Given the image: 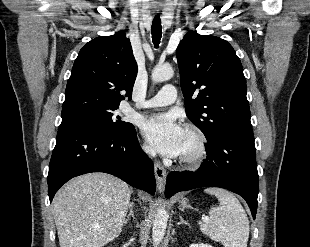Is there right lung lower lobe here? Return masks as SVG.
<instances>
[{"label": "right lung lower lobe", "instance_id": "obj_1", "mask_svg": "<svg viewBox=\"0 0 310 247\" xmlns=\"http://www.w3.org/2000/svg\"><path fill=\"white\" fill-rule=\"evenodd\" d=\"M90 172H105L154 194L152 160L141 149L134 126L122 132L96 125L60 126L48 173L50 202L68 180Z\"/></svg>", "mask_w": 310, "mask_h": 247}]
</instances>
